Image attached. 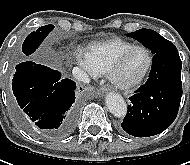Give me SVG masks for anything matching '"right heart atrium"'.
<instances>
[{
    "label": "right heart atrium",
    "mask_w": 190,
    "mask_h": 165,
    "mask_svg": "<svg viewBox=\"0 0 190 165\" xmlns=\"http://www.w3.org/2000/svg\"><path fill=\"white\" fill-rule=\"evenodd\" d=\"M76 59H77V62L79 63V65H81L82 67H84L85 69L90 71L87 61H86V58H85V54L78 52L76 55Z\"/></svg>",
    "instance_id": "d8ad5b80"
}]
</instances>
